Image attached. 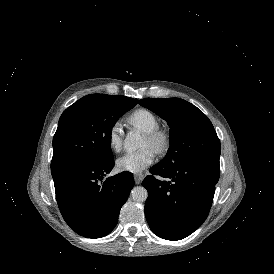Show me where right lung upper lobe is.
<instances>
[{
  "label": "right lung upper lobe",
  "instance_id": "obj_1",
  "mask_svg": "<svg viewBox=\"0 0 274 274\" xmlns=\"http://www.w3.org/2000/svg\"><path fill=\"white\" fill-rule=\"evenodd\" d=\"M103 95H106V94H90V95L85 96L84 98H94V97H99V96H103Z\"/></svg>",
  "mask_w": 274,
  "mask_h": 274
}]
</instances>
